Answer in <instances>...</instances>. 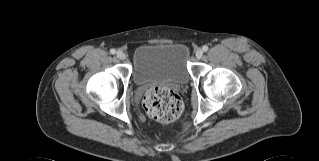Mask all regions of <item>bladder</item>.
<instances>
[{
	"label": "bladder",
	"mask_w": 319,
	"mask_h": 161,
	"mask_svg": "<svg viewBox=\"0 0 319 161\" xmlns=\"http://www.w3.org/2000/svg\"><path fill=\"white\" fill-rule=\"evenodd\" d=\"M189 51L180 43H146L134 51V80L138 85L190 81Z\"/></svg>",
	"instance_id": "1"
}]
</instances>
